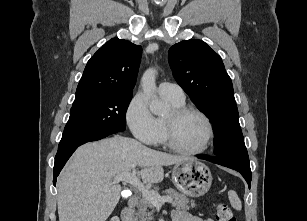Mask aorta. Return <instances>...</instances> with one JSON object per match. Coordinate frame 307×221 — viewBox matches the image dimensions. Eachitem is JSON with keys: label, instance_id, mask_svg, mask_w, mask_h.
<instances>
[{"label": "aorta", "instance_id": "obj_1", "mask_svg": "<svg viewBox=\"0 0 307 221\" xmlns=\"http://www.w3.org/2000/svg\"><path fill=\"white\" fill-rule=\"evenodd\" d=\"M156 73L154 68L147 69L141 78V86L149 99L151 112L155 115H163L168 111V107L156 97Z\"/></svg>", "mask_w": 307, "mask_h": 221}]
</instances>
